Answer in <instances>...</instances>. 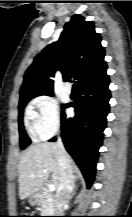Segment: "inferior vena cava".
<instances>
[{"mask_svg":"<svg viewBox=\"0 0 132 217\" xmlns=\"http://www.w3.org/2000/svg\"><path fill=\"white\" fill-rule=\"evenodd\" d=\"M58 146V164L60 170V184L57 189L56 198H55V213L57 215H62L63 207L65 205L66 199L69 197L72 192V186L74 183V174L71 165V159L67 154L62 139L58 137L57 140Z\"/></svg>","mask_w":132,"mask_h":217,"instance_id":"1","label":"inferior vena cava"}]
</instances>
